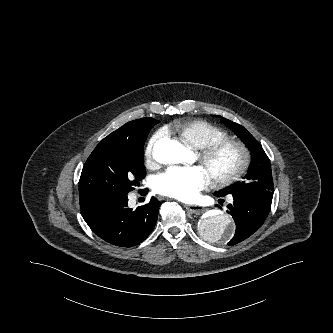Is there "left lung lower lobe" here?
Listing matches in <instances>:
<instances>
[{
	"label": "left lung lower lobe",
	"instance_id": "0a47b994",
	"mask_svg": "<svg viewBox=\"0 0 333 333\" xmlns=\"http://www.w3.org/2000/svg\"><path fill=\"white\" fill-rule=\"evenodd\" d=\"M214 196L223 197L222 192H215ZM234 202L228 204V213L232 215L236 232L228 245H235L255 233L266 220L271 208L272 199L249 194L232 195Z\"/></svg>",
	"mask_w": 333,
	"mask_h": 333
}]
</instances>
